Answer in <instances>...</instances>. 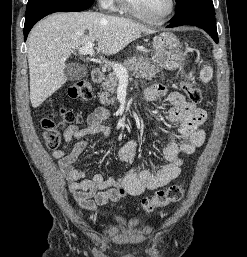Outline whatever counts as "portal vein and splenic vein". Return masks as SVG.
I'll return each mask as SVG.
<instances>
[{"mask_svg":"<svg viewBox=\"0 0 247 257\" xmlns=\"http://www.w3.org/2000/svg\"><path fill=\"white\" fill-rule=\"evenodd\" d=\"M78 52L82 55L89 54L93 56L95 53L93 49V43L89 42L85 44L83 47L79 49ZM109 64L112 66L119 80L128 81V71L125 67H123L121 64L114 63V62L112 63L110 62Z\"/></svg>","mask_w":247,"mask_h":257,"instance_id":"1","label":"portal vein and splenic vein"}]
</instances>
